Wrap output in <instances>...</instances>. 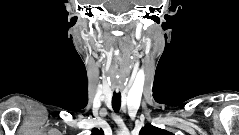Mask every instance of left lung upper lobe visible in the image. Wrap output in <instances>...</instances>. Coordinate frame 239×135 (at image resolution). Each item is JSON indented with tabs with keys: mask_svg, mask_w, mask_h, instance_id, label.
Instances as JSON below:
<instances>
[{
	"mask_svg": "<svg viewBox=\"0 0 239 135\" xmlns=\"http://www.w3.org/2000/svg\"><path fill=\"white\" fill-rule=\"evenodd\" d=\"M140 135H173L171 132L146 124L140 131Z\"/></svg>",
	"mask_w": 239,
	"mask_h": 135,
	"instance_id": "1",
	"label": "left lung upper lobe"
}]
</instances>
